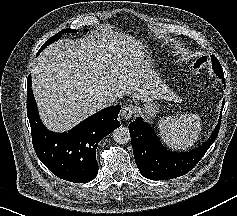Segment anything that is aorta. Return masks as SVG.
I'll list each match as a JSON object with an SVG mask.
<instances>
[{"label": "aorta", "mask_w": 237, "mask_h": 216, "mask_svg": "<svg viewBox=\"0 0 237 216\" xmlns=\"http://www.w3.org/2000/svg\"><path fill=\"white\" fill-rule=\"evenodd\" d=\"M112 136L117 144H128L132 140L129 129L124 126L115 129Z\"/></svg>", "instance_id": "aorta-1"}]
</instances>
